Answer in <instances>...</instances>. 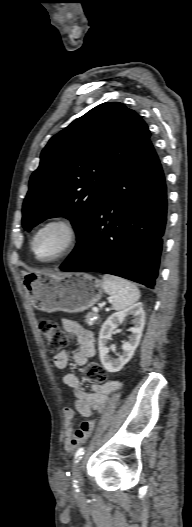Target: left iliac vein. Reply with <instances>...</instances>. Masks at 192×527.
I'll list each match as a JSON object with an SVG mask.
<instances>
[{
  "instance_id": "obj_1",
  "label": "left iliac vein",
  "mask_w": 192,
  "mask_h": 527,
  "mask_svg": "<svg viewBox=\"0 0 192 527\" xmlns=\"http://www.w3.org/2000/svg\"><path fill=\"white\" fill-rule=\"evenodd\" d=\"M73 478L77 481L78 485H81L82 477L80 472V464L78 462H76L74 465Z\"/></svg>"
}]
</instances>
